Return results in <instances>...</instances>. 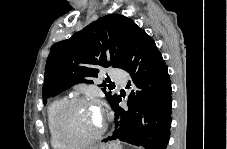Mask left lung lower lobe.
<instances>
[{
	"instance_id": "0a47b994",
	"label": "left lung lower lobe",
	"mask_w": 227,
	"mask_h": 149,
	"mask_svg": "<svg viewBox=\"0 0 227 149\" xmlns=\"http://www.w3.org/2000/svg\"><path fill=\"white\" fill-rule=\"evenodd\" d=\"M123 70L140 91H132L127 109L111 105L115 112V131L108 140L119 139L145 149H166L170 136L171 81L167 66L154 40L137 27L132 36Z\"/></svg>"
}]
</instances>
